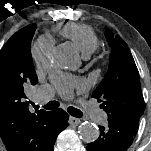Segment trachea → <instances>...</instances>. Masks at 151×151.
<instances>
[{"label":"trachea","instance_id":"obj_1","mask_svg":"<svg viewBox=\"0 0 151 151\" xmlns=\"http://www.w3.org/2000/svg\"><path fill=\"white\" fill-rule=\"evenodd\" d=\"M36 107L39 108V106H36ZM58 107H59V102H58V101H50L49 103H47V104L44 106V108H45L46 110H54V109H56V108H58ZM67 111H68V113H69L71 116H73V117L80 118V117L83 116V113H82L79 109H76V108H74V107H72V106H69V107L67 108Z\"/></svg>","mask_w":151,"mask_h":151}]
</instances>
